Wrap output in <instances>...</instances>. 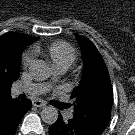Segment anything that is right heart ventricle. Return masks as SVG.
I'll use <instances>...</instances> for the list:
<instances>
[{
	"mask_svg": "<svg viewBox=\"0 0 135 135\" xmlns=\"http://www.w3.org/2000/svg\"><path fill=\"white\" fill-rule=\"evenodd\" d=\"M34 51L44 53L56 70L60 68L67 70L77 58L75 48L70 43L62 40L50 43L45 49L35 45Z\"/></svg>",
	"mask_w": 135,
	"mask_h": 135,
	"instance_id": "obj_1",
	"label": "right heart ventricle"
}]
</instances>
